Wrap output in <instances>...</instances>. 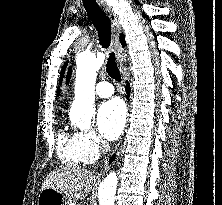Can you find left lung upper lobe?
Here are the masks:
<instances>
[{
    "label": "left lung upper lobe",
    "instance_id": "5c2ea615",
    "mask_svg": "<svg viewBox=\"0 0 222 205\" xmlns=\"http://www.w3.org/2000/svg\"><path fill=\"white\" fill-rule=\"evenodd\" d=\"M69 72H71V70H69ZM69 78H70V75H68V80H69Z\"/></svg>",
    "mask_w": 222,
    "mask_h": 205
}]
</instances>
